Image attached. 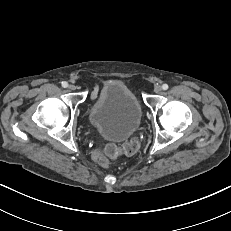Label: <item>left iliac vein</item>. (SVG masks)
Here are the masks:
<instances>
[{
	"label": "left iliac vein",
	"mask_w": 231,
	"mask_h": 231,
	"mask_svg": "<svg viewBox=\"0 0 231 231\" xmlns=\"http://www.w3.org/2000/svg\"><path fill=\"white\" fill-rule=\"evenodd\" d=\"M161 91H162V87L161 86H155V88H154V92L155 93H161Z\"/></svg>",
	"instance_id": "left-iliac-vein-1"
}]
</instances>
